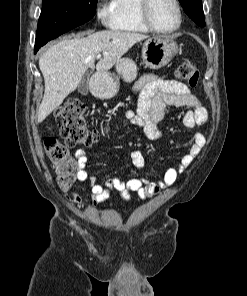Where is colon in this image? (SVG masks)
Segmentation results:
<instances>
[{"mask_svg":"<svg viewBox=\"0 0 247 296\" xmlns=\"http://www.w3.org/2000/svg\"><path fill=\"white\" fill-rule=\"evenodd\" d=\"M176 75L190 87H196L198 84L199 71L190 61L182 62L177 68ZM55 122L65 145L55 138L48 137L45 140V148L56 171L59 186L67 189L74 183L79 170V161L69 148L91 146L98 141L101 132L88 128L85 105L77 99L69 100L59 107L55 113Z\"/></svg>","mask_w":247,"mask_h":296,"instance_id":"obj_1","label":"colon"}]
</instances>
